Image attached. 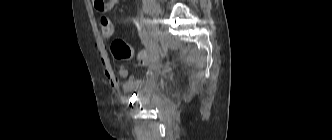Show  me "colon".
Here are the masks:
<instances>
[{
	"instance_id": "5ec220e1",
	"label": "colon",
	"mask_w": 332,
	"mask_h": 140,
	"mask_svg": "<svg viewBox=\"0 0 332 140\" xmlns=\"http://www.w3.org/2000/svg\"><path fill=\"white\" fill-rule=\"evenodd\" d=\"M116 0H94V6L98 11H105L114 4ZM100 31L105 37H111L114 34V25L107 16L100 18ZM111 53L116 59H131L134 55L132 48L120 39H116L111 44Z\"/></svg>"
}]
</instances>
